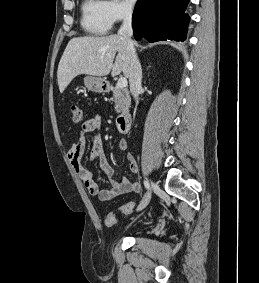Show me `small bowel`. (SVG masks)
Instances as JSON below:
<instances>
[{"mask_svg":"<svg viewBox=\"0 0 259 283\" xmlns=\"http://www.w3.org/2000/svg\"><path fill=\"white\" fill-rule=\"evenodd\" d=\"M92 134V145L87 157L88 162L98 161L103 170L104 179L109 183V188L101 189L93 179L90 169L82 163V156L86 148V134ZM127 141L122 139L118 143V149L121 152H127ZM68 160L78 173L83 184L92 196L97 197L100 201H109L125 193H139L141 186L138 182L127 177H122L117 181L113 169L109 166L103 149V138L101 133V121L98 116L88 118L81 126L80 136L71 146L68 153ZM128 168L130 172L138 171L137 162L130 153L126 154Z\"/></svg>","mask_w":259,"mask_h":283,"instance_id":"obj_1","label":"small bowel"}]
</instances>
